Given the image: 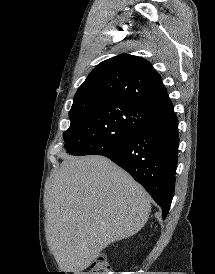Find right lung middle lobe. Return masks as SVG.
<instances>
[{"mask_svg":"<svg viewBox=\"0 0 215 274\" xmlns=\"http://www.w3.org/2000/svg\"><path fill=\"white\" fill-rule=\"evenodd\" d=\"M154 115L118 100L73 103L64 147L77 156L98 154L122 143Z\"/></svg>","mask_w":215,"mask_h":274,"instance_id":"1","label":"right lung middle lobe"}]
</instances>
